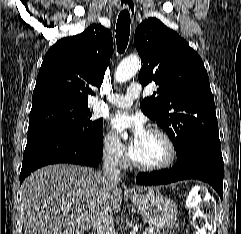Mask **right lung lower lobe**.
<instances>
[{
  "label": "right lung lower lobe",
  "instance_id": "1",
  "mask_svg": "<svg viewBox=\"0 0 241 234\" xmlns=\"http://www.w3.org/2000/svg\"><path fill=\"white\" fill-rule=\"evenodd\" d=\"M103 134L93 140L63 131L29 134L23 154L20 184L34 170L55 163L96 166L102 159Z\"/></svg>",
  "mask_w": 241,
  "mask_h": 234
}]
</instances>
